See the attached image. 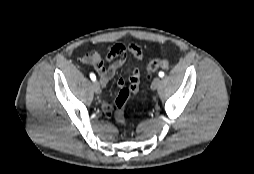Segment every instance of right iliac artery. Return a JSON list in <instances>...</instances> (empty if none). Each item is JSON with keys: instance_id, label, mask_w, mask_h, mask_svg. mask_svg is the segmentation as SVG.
Instances as JSON below:
<instances>
[{"instance_id": "1", "label": "right iliac artery", "mask_w": 254, "mask_h": 174, "mask_svg": "<svg viewBox=\"0 0 254 174\" xmlns=\"http://www.w3.org/2000/svg\"><path fill=\"white\" fill-rule=\"evenodd\" d=\"M90 78H91L92 81H95V80H96L95 74L91 73V74H90Z\"/></svg>"}]
</instances>
